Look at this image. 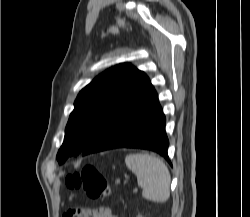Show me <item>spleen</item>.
<instances>
[{
    "mask_svg": "<svg viewBox=\"0 0 250 217\" xmlns=\"http://www.w3.org/2000/svg\"><path fill=\"white\" fill-rule=\"evenodd\" d=\"M125 163L136 174L138 186L143 189V198L157 203L169 199L171 176L160 158L149 154H129Z\"/></svg>",
    "mask_w": 250,
    "mask_h": 217,
    "instance_id": "3e777b00",
    "label": "spleen"
}]
</instances>
